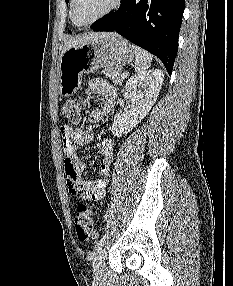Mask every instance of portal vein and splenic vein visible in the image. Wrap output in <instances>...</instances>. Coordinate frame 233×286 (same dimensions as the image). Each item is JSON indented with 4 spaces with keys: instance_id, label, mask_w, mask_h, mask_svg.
<instances>
[{
    "instance_id": "obj_1",
    "label": "portal vein and splenic vein",
    "mask_w": 233,
    "mask_h": 286,
    "mask_svg": "<svg viewBox=\"0 0 233 286\" xmlns=\"http://www.w3.org/2000/svg\"><path fill=\"white\" fill-rule=\"evenodd\" d=\"M122 77H123V78L126 77L125 73H122Z\"/></svg>"
}]
</instances>
